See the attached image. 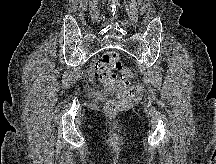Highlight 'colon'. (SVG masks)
Returning a JSON list of instances; mask_svg holds the SVG:
<instances>
[{"label":"colon","instance_id":"5ec220e1","mask_svg":"<svg viewBox=\"0 0 216 164\" xmlns=\"http://www.w3.org/2000/svg\"><path fill=\"white\" fill-rule=\"evenodd\" d=\"M96 69L104 85L117 96V100L107 104L108 114L114 115L140 98L142 88L133 83L132 72L123 65L116 53L108 52L101 56L96 63Z\"/></svg>","mask_w":216,"mask_h":164}]
</instances>
